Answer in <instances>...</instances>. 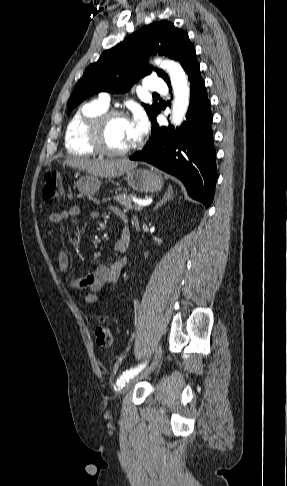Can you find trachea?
<instances>
[{"instance_id": "1", "label": "trachea", "mask_w": 287, "mask_h": 486, "mask_svg": "<svg viewBox=\"0 0 287 486\" xmlns=\"http://www.w3.org/2000/svg\"><path fill=\"white\" fill-rule=\"evenodd\" d=\"M154 96H159V95L155 93Z\"/></svg>"}]
</instances>
